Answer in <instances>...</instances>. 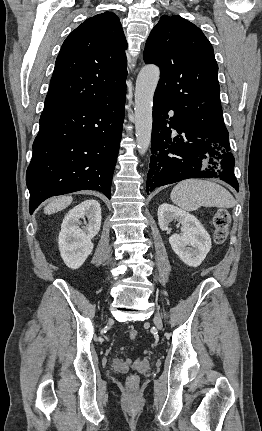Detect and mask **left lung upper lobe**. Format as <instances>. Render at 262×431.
I'll use <instances>...</instances> for the list:
<instances>
[{
	"label": "left lung upper lobe",
	"mask_w": 262,
	"mask_h": 431,
	"mask_svg": "<svg viewBox=\"0 0 262 431\" xmlns=\"http://www.w3.org/2000/svg\"><path fill=\"white\" fill-rule=\"evenodd\" d=\"M144 61L160 67L155 93L181 118L204 133L226 129L218 65L211 43L197 26L176 15L162 16L147 39Z\"/></svg>",
	"instance_id": "1"
}]
</instances>
